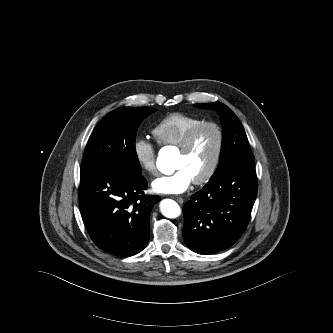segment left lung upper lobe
<instances>
[{"label": "left lung upper lobe", "mask_w": 333, "mask_h": 333, "mask_svg": "<svg viewBox=\"0 0 333 333\" xmlns=\"http://www.w3.org/2000/svg\"><path fill=\"white\" fill-rule=\"evenodd\" d=\"M197 108L216 110L223 124V140L220 162L213 177L222 173L226 168L247 162H253L245 130L234 112L221 102L195 104Z\"/></svg>", "instance_id": "obj_1"}]
</instances>
